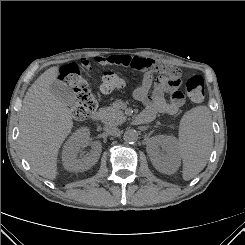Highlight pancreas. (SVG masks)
<instances>
[{"instance_id": "cf45deb5", "label": "pancreas", "mask_w": 245, "mask_h": 245, "mask_svg": "<svg viewBox=\"0 0 245 245\" xmlns=\"http://www.w3.org/2000/svg\"><path fill=\"white\" fill-rule=\"evenodd\" d=\"M100 114L101 121L108 126H117L126 120L124 113L120 110L117 104L100 109Z\"/></svg>"}]
</instances>
